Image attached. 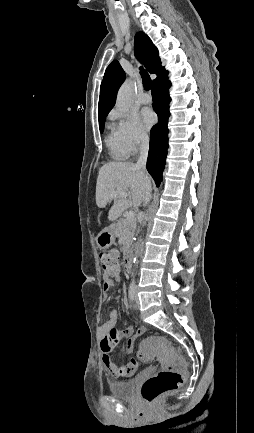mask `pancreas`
Returning a JSON list of instances; mask_svg holds the SVG:
<instances>
[{
	"label": "pancreas",
	"mask_w": 254,
	"mask_h": 433,
	"mask_svg": "<svg viewBox=\"0 0 254 433\" xmlns=\"http://www.w3.org/2000/svg\"><path fill=\"white\" fill-rule=\"evenodd\" d=\"M135 230L136 221L134 219L120 218L115 226V235L122 240L124 246H127L132 243Z\"/></svg>",
	"instance_id": "pancreas-1"
}]
</instances>
